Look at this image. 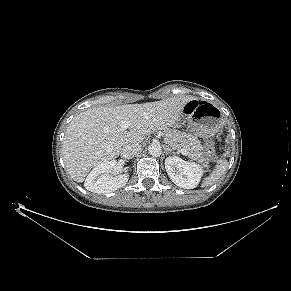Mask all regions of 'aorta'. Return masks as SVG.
Instances as JSON below:
<instances>
[{
	"label": "aorta",
	"mask_w": 291,
	"mask_h": 291,
	"mask_svg": "<svg viewBox=\"0 0 291 291\" xmlns=\"http://www.w3.org/2000/svg\"><path fill=\"white\" fill-rule=\"evenodd\" d=\"M148 152L152 157H159L162 154V148L159 144H151Z\"/></svg>",
	"instance_id": "obj_1"
}]
</instances>
